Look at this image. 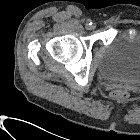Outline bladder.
<instances>
[{"label":"bladder","instance_id":"obj_1","mask_svg":"<svg viewBox=\"0 0 140 140\" xmlns=\"http://www.w3.org/2000/svg\"><path fill=\"white\" fill-rule=\"evenodd\" d=\"M99 71L108 79L140 83V30L131 27L118 32L106 46Z\"/></svg>","mask_w":140,"mask_h":140}]
</instances>
